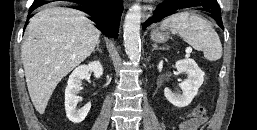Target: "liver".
I'll use <instances>...</instances> for the list:
<instances>
[{"label":"liver","instance_id":"6515ba94","mask_svg":"<svg viewBox=\"0 0 257 130\" xmlns=\"http://www.w3.org/2000/svg\"><path fill=\"white\" fill-rule=\"evenodd\" d=\"M100 31L83 12L48 6L25 31L21 57L29 95L43 114L57 84L94 51Z\"/></svg>","mask_w":257,"mask_h":130}]
</instances>
